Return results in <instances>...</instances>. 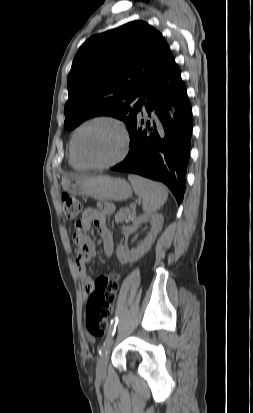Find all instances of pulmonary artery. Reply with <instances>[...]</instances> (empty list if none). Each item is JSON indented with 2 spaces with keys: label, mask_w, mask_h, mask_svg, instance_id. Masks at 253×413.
I'll return each mask as SVG.
<instances>
[{
  "label": "pulmonary artery",
  "mask_w": 253,
  "mask_h": 413,
  "mask_svg": "<svg viewBox=\"0 0 253 413\" xmlns=\"http://www.w3.org/2000/svg\"><path fill=\"white\" fill-rule=\"evenodd\" d=\"M147 105V100L145 99L144 100V103H143V109H145V106Z\"/></svg>",
  "instance_id": "e3ab8cb5"
}]
</instances>
